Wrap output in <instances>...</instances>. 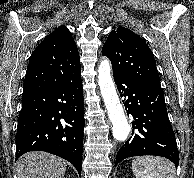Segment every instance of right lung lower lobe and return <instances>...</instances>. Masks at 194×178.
<instances>
[{
  "label": "right lung lower lobe",
  "mask_w": 194,
  "mask_h": 178,
  "mask_svg": "<svg viewBox=\"0 0 194 178\" xmlns=\"http://www.w3.org/2000/svg\"><path fill=\"white\" fill-rule=\"evenodd\" d=\"M84 103L81 77L23 94L16 134V159L29 151H46L82 168Z\"/></svg>",
  "instance_id": "98d812e1"
}]
</instances>
